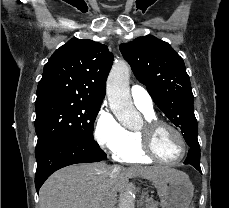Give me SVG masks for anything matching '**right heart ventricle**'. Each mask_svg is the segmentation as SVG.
<instances>
[{
  "mask_svg": "<svg viewBox=\"0 0 229 208\" xmlns=\"http://www.w3.org/2000/svg\"><path fill=\"white\" fill-rule=\"evenodd\" d=\"M128 77V76H127ZM142 113L145 115L147 119H154L155 114H149L146 112ZM131 146L126 149L125 151H122L121 153L117 154L116 156L123 161H130V162H147L150 161L151 158H144L143 154L141 153L142 143H144V140L142 139L139 132L135 131H127Z\"/></svg>",
  "mask_w": 229,
  "mask_h": 208,
  "instance_id": "1",
  "label": "right heart ventricle"
}]
</instances>
